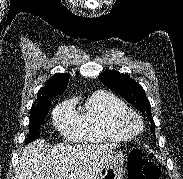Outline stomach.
<instances>
[{
    "mask_svg": "<svg viewBox=\"0 0 183 179\" xmlns=\"http://www.w3.org/2000/svg\"><path fill=\"white\" fill-rule=\"evenodd\" d=\"M126 161L123 152H114L105 162L96 179H123V166Z\"/></svg>",
    "mask_w": 183,
    "mask_h": 179,
    "instance_id": "1",
    "label": "stomach"
}]
</instances>
